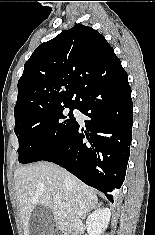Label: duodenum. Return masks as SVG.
Instances as JSON below:
<instances>
[{
    "label": "duodenum",
    "mask_w": 155,
    "mask_h": 235,
    "mask_svg": "<svg viewBox=\"0 0 155 235\" xmlns=\"http://www.w3.org/2000/svg\"><path fill=\"white\" fill-rule=\"evenodd\" d=\"M62 232L63 235H80V231L74 225H63Z\"/></svg>",
    "instance_id": "410a0bca"
}]
</instances>
